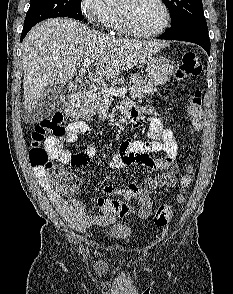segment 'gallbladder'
<instances>
[{"label": "gallbladder", "instance_id": "bac80fb5", "mask_svg": "<svg viewBox=\"0 0 233 294\" xmlns=\"http://www.w3.org/2000/svg\"><path fill=\"white\" fill-rule=\"evenodd\" d=\"M65 100V92L61 85L47 86L37 104L33 109V117L30 121H41L54 113L59 105Z\"/></svg>", "mask_w": 233, "mask_h": 294}]
</instances>
